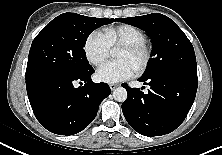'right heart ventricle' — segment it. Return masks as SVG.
I'll return each mask as SVG.
<instances>
[{"mask_svg":"<svg viewBox=\"0 0 222 155\" xmlns=\"http://www.w3.org/2000/svg\"><path fill=\"white\" fill-rule=\"evenodd\" d=\"M104 35L111 48H119L127 44L145 43L147 41L145 31L131 24L108 27L105 29Z\"/></svg>","mask_w":222,"mask_h":155,"instance_id":"obj_1","label":"right heart ventricle"}]
</instances>
